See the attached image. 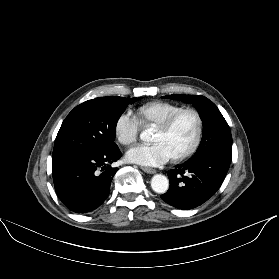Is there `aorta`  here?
I'll use <instances>...</instances> for the list:
<instances>
[{
	"mask_svg": "<svg viewBox=\"0 0 279 279\" xmlns=\"http://www.w3.org/2000/svg\"><path fill=\"white\" fill-rule=\"evenodd\" d=\"M140 138L143 141H148L150 139V131L145 130L141 132ZM151 187L156 193L163 194L169 188V180L162 174L154 175L151 179Z\"/></svg>",
	"mask_w": 279,
	"mask_h": 279,
	"instance_id": "762f6f07",
	"label": "aorta"
}]
</instances>
